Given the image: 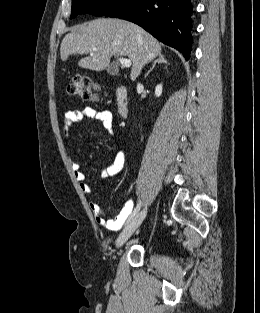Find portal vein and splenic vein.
I'll list each match as a JSON object with an SVG mask.
<instances>
[{
  "mask_svg": "<svg viewBox=\"0 0 260 313\" xmlns=\"http://www.w3.org/2000/svg\"><path fill=\"white\" fill-rule=\"evenodd\" d=\"M94 51H96V48H94ZM119 61L122 64V66L129 68L131 67V60L123 57H119Z\"/></svg>",
  "mask_w": 260,
  "mask_h": 313,
  "instance_id": "18ae733b",
  "label": "portal vein and splenic vein"
}]
</instances>
